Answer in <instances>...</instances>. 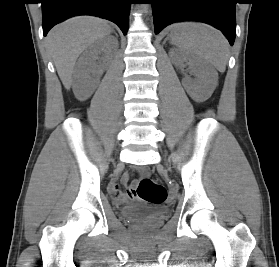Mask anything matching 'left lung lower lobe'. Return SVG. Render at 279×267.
<instances>
[{"instance_id":"obj_1","label":"left lung lower lobe","mask_w":279,"mask_h":267,"mask_svg":"<svg viewBox=\"0 0 279 267\" xmlns=\"http://www.w3.org/2000/svg\"><path fill=\"white\" fill-rule=\"evenodd\" d=\"M155 34L167 25L187 20L221 30L233 45L236 35L235 0H150Z\"/></svg>"}]
</instances>
